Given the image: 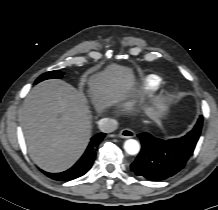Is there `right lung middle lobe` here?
Returning <instances> with one entry per match:
<instances>
[{"instance_id": "right-lung-middle-lobe-1", "label": "right lung middle lobe", "mask_w": 218, "mask_h": 210, "mask_svg": "<svg viewBox=\"0 0 218 210\" xmlns=\"http://www.w3.org/2000/svg\"><path fill=\"white\" fill-rule=\"evenodd\" d=\"M62 75H63V73L60 71H57V70L44 73L35 81V84H37L43 80H46V79L61 78Z\"/></svg>"}]
</instances>
